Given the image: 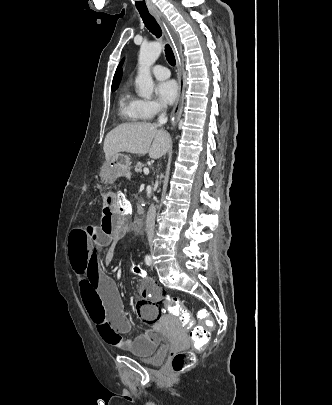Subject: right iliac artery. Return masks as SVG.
<instances>
[{"label":"right iliac artery","instance_id":"right-iliac-artery-1","mask_svg":"<svg viewBox=\"0 0 332 405\" xmlns=\"http://www.w3.org/2000/svg\"><path fill=\"white\" fill-rule=\"evenodd\" d=\"M145 263H146L148 266L151 265L152 259H151V257H150L149 255H146V256H145Z\"/></svg>","mask_w":332,"mask_h":405}]
</instances>
